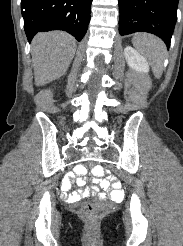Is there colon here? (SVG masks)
<instances>
[{
    "instance_id": "obj_1",
    "label": "colon",
    "mask_w": 183,
    "mask_h": 246,
    "mask_svg": "<svg viewBox=\"0 0 183 246\" xmlns=\"http://www.w3.org/2000/svg\"><path fill=\"white\" fill-rule=\"evenodd\" d=\"M84 166L86 167V169H91V167H96V162H85ZM81 214L85 219L93 221L94 219H96L98 211L92 202H87L82 206Z\"/></svg>"
}]
</instances>
